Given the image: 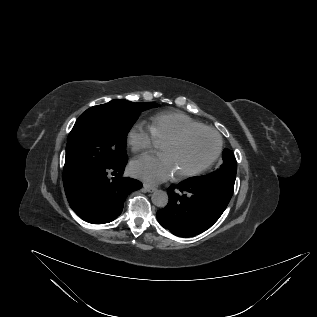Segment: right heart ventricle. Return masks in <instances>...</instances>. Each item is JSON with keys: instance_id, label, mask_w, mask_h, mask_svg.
<instances>
[{"instance_id": "obj_1", "label": "right heart ventricle", "mask_w": 317, "mask_h": 317, "mask_svg": "<svg viewBox=\"0 0 317 317\" xmlns=\"http://www.w3.org/2000/svg\"><path fill=\"white\" fill-rule=\"evenodd\" d=\"M182 112H162L152 117L150 129L159 144L190 128L203 127Z\"/></svg>"}]
</instances>
